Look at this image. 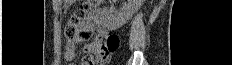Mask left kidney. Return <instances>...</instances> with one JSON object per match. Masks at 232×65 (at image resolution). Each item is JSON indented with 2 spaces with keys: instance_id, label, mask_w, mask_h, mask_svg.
Masks as SVG:
<instances>
[{
  "instance_id": "left-kidney-1",
  "label": "left kidney",
  "mask_w": 232,
  "mask_h": 65,
  "mask_svg": "<svg viewBox=\"0 0 232 65\" xmlns=\"http://www.w3.org/2000/svg\"><path fill=\"white\" fill-rule=\"evenodd\" d=\"M141 4V0H127V3L117 11H111L109 9H103L102 11V23L108 30H115L124 25L131 19L134 13L138 10Z\"/></svg>"
}]
</instances>
